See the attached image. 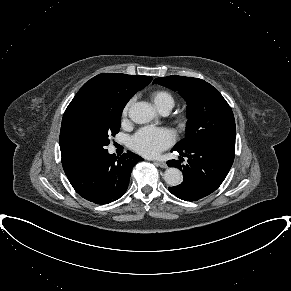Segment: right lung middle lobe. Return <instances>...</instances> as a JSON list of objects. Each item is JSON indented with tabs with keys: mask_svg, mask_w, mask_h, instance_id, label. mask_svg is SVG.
I'll list each match as a JSON object with an SVG mask.
<instances>
[{
	"mask_svg": "<svg viewBox=\"0 0 291 291\" xmlns=\"http://www.w3.org/2000/svg\"><path fill=\"white\" fill-rule=\"evenodd\" d=\"M124 106L117 97L100 94L64 113L59 142L69 165L80 166L108 151L105 147L119 132Z\"/></svg>",
	"mask_w": 291,
	"mask_h": 291,
	"instance_id": "dd1d6c3e",
	"label": "right lung middle lobe"
}]
</instances>
